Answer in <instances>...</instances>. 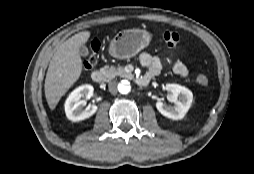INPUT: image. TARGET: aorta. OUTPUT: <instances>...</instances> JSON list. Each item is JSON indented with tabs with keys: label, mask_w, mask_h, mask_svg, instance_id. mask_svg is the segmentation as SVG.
Returning <instances> with one entry per match:
<instances>
[{
	"label": "aorta",
	"mask_w": 254,
	"mask_h": 174,
	"mask_svg": "<svg viewBox=\"0 0 254 174\" xmlns=\"http://www.w3.org/2000/svg\"><path fill=\"white\" fill-rule=\"evenodd\" d=\"M131 90V86L130 83L126 80L122 81L121 83H119L118 85V91L121 94H128Z\"/></svg>",
	"instance_id": "762f6f07"
}]
</instances>
